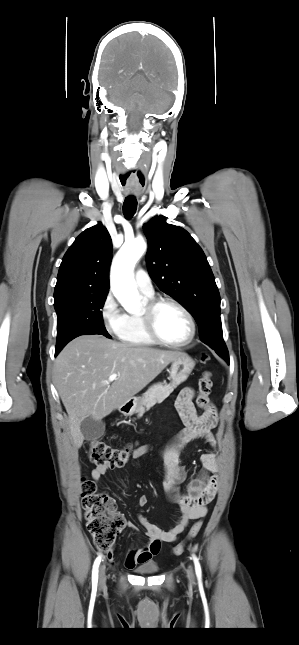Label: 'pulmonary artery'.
<instances>
[{"mask_svg": "<svg viewBox=\"0 0 299 645\" xmlns=\"http://www.w3.org/2000/svg\"><path fill=\"white\" fill-rule=\"evenodd\" d=\"M135 281L142 293L147 296H152L154 294L153 285L147 272L142 269L137 270L135 273Z\"/></svg>", "mask_w": 299, "mask_h": 645, "instance_id": "pulmonary-artery-1", "label": "pulmonary artery"}]
</instances>
